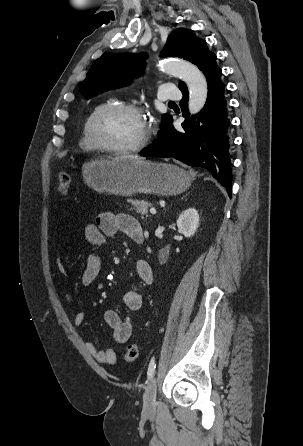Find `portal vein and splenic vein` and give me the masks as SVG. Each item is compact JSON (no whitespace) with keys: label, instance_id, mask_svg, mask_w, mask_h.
Instances as JSON below:
<instances>
[{"label":"portal vein and splenic vein","instance_id":"1","mask_svg":"<svg viewBox=\"0 0 303 446\" xmlns=\"http://www.w3.org/2000/svg\"><path fill=\"white\" fill-rule=\"evenodd\" d=\"M150 213H151V214H153V215H155V214H156V209H155V208H153V207H152V208H150Z\"/></svg>","mask_w":303,"mask_h":446}]
</instances>
